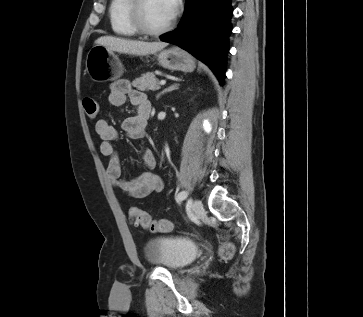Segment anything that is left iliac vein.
Masks as SVG:
<instances>
[{
	"mask_svg": "<svg viewBox=\"0 0 363 317\" xmlns=\"http://www.w3.org/2000/svg\"><path fill=\"white\" fill-rule=\"evenodd\" d=\"M191 209H192V213L195 216L201 215L202 212H203L202 202L200 200H198V199L193 200L192 203H191Z\"/></svg>",
	"mask_w": 363,
	"mask_h": 317,
	"instance_id": "1",
	"label": "left iliac vein"
}]
</instances>
